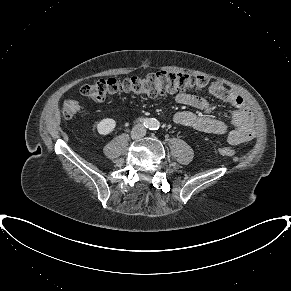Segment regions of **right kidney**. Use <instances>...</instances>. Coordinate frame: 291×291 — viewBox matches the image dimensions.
Instances as JSON below:
<instances>
[{
    "mask_svg": "<svg viewBox=\"0 0 291 291\" xmlns=\"http://www.w3.org/2000/svg\"><path fill=\"white\" fill-rule=\"evenodd\" d=\"M116 127V121L111 118H104L96 124V129L100 135L110 134Z\"/></svg>",
    "mask_w": 291,
    "mask_h": 291,
    "instance_id": "right-kidney-1",
    "label": "right kidney"
}]
</instances>
